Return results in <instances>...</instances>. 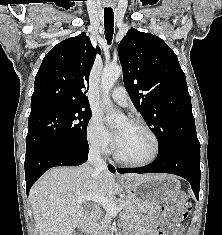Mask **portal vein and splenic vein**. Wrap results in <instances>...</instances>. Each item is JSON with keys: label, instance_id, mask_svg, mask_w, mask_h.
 Instances as JSON below:
<instances>
[{"label": "portal vein and splenic vein", "instance_id": "1", "mask_svg": "<svg viewBox=\"0 0 222 235\" xmlns=\"http://www.w3.org/2000/svg\"><path fill=\"white\" fill-rule=\"evenodd\" d=\"M89 200L100 204L105 209V211L111 216H116L118 212H120L124 208L123 204L116 205L113 201L109 200L108 198L97 194H90L87 196L85 195L79 198L80 202H85Z\"/></svg>", "mask_w": 222, "mask_h": 235}]
</instances>
